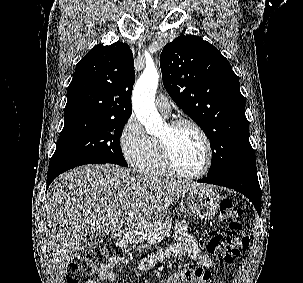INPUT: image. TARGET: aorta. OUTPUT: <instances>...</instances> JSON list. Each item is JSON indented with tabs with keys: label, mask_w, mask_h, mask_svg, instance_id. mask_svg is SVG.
I'll use <instances>...</instances> for the list:
<instances>
[{
	"label": "aorta",
	"mask_w": 303,
	"mask_h": 283,
	"mask_svg": "<svg viewBox=\"0 0 303 283\" xmlns=\"http://www.w3.org/2000/svg\"><path fill=\"white\" fill-rule=\"evenodd\" d=\"M159 73L146 68L135 84L132 105L139 121L148 134H156L163 127V119L155 107V93L158 87Z\"/></svg>",
	"instance_id": "obj_1"
}]
</instances>
